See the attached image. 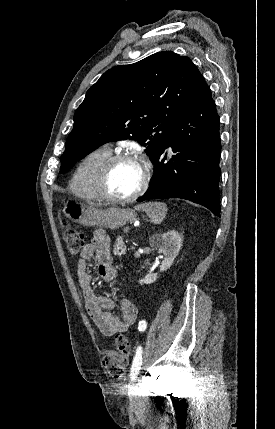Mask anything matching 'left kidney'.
<instances>
[{
  "label": "left kidney",
  "mask_w": 275,
  "mask_h": 429,
  "mask_svg": "<svg viewBox=\"0 0 275 429\" xmlns=\"http://www.w3.org/2000/svg\"><path fill=\"white\" fill-rule=\"evenodd\" d=\"M151 247L159 250L164 255V259L160 266V272H164L169 269L178 255L181 245L182 237L175 230L167 231L163 234H154L149 238ZM158 278V273H150L144 278L139 280V284H151L154 283Z\"/></svg>",
  "instance_id": "obj_1"
}]
</instances>
